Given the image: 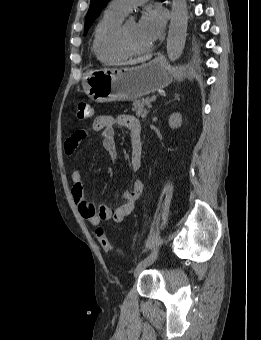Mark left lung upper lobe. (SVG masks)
Listing matches in <instances>:
<instances>
[{
  "instance_id": "5c2ea615",
  "label": "left lung upper lobe",
  "mask_w": 261,
  "mask_h": 340,
  "mask_svg": "<svg viewBox=\"0 0 261 340\" xmlns=\"http://www.w3.org/2000/svg\"><path fill=\"white\" fill-rule=\"evenodd\" d=\"M109 0H91L88 14L85 21L84 35L87 34L91 24L98 17Z\"/></svg>"
}]
</instances>
